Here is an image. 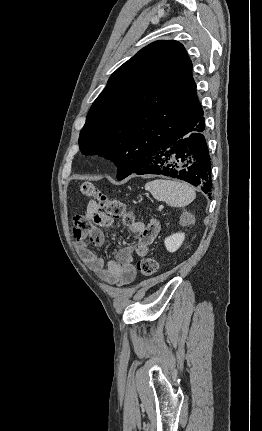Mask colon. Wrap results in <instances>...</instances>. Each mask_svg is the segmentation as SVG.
Masks as SVG:
<instances>
[{"label":"colon","instance_id":"obj_1","mask_svg":"<svg viewBox=\"0 0 262 431\" xmlns=\"http://www.w3.org/2000/svg\"><path fill=\"white\" fill-rule=\"evenodd\" d=\"M80 195L93 199L111 218L123 219L127 224H132L136 221L133 211L128 209L122 201L109 197L92 183H83L80 186ZM137 269L142 276L150 277L157 272L158 262L153 257H145L137 263Z\"/></svg>","mask_w":262,"mask_h":431}]
</instances>
